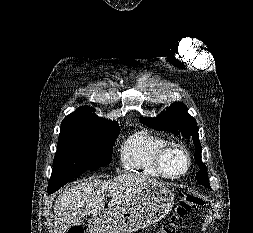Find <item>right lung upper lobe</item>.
I'll list each match as a JSON object with an SVG mask.
<instances>
[{
    "instance_id": "cb5924a9",
    "label": "right lung upper lobe",
    "mask_w": 253,
    "mask_h": 233,
    "mask_svg": "<svg viewBox=\"0 0 253 233\" xmlns=\"http://www.w3.org/2000/svg\"><path fill=\"white\" fill-rule=\"evenodd\" d=\"M91 111H95L94 108H90V106H81L78 109H76L75 112L68 116H78V117H89V118H99L96 116V114H91ZM102 119V118H99Z\"/></svg>"
}]
</instances>
